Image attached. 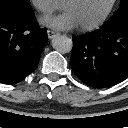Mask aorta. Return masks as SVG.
<instances>
[{
    "label": "aorta",
    "instance_id": "obj_1",
    "mask_svg": "<svg viewBox=\"0 0 128 128\" xmlns=\"http://www.w3.org/2000/svg\"><path fill=\"white\" fill-rule=\"evenodd\" d=\"M52 46L57 52L65 54L72 50L73 43L69 37L59 35L52 40Z\"/></svg>",
    "mask_w": 128,
    "mask_h": 128
}]
</instances>
